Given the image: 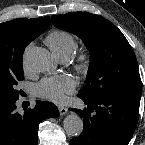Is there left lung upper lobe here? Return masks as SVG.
I'll return each mask as SVG.
<instances>
[{
	"mask_svg": "<svg viewBox=\"0 0 145 145\" xmlns=\"http://www.w3.org/2000/svg\"><path fill=\"white\" fill-rule=\"evenodd\" d=\"M54 26L81 38L90 52L86 85L78 95L99 99L141 92L135 54L123 33L100 15L88 12L52 16Z\"/></svg>",
	"mask_w": 145,
	"mask_h": 145,
	"instance_id": "left-lung-upper-lobe-1",
	"label": "left lung upper lobe"
}]
</instances>
